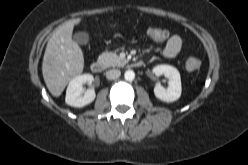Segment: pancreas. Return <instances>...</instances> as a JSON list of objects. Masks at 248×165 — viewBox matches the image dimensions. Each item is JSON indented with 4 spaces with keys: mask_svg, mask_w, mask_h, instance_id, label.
<instances>
[{
    "mask_svg": "<svg viewBox=\"0 0 248 165\" xmlns=\"http://www.w3.org/2000/svg\"><path fill=\"white\" fill-rule=\"evenodd\" d=\"M99 61L103 63L106 67H122L127 63V60L121 59L116 53L113 52H103L99 56Z\"/></svg>",
    "mask_w": 248,
    "mask_h": 165,
    "instance_id": "cf45deb5",
    "label": "pancreas"
}]
</instances>
